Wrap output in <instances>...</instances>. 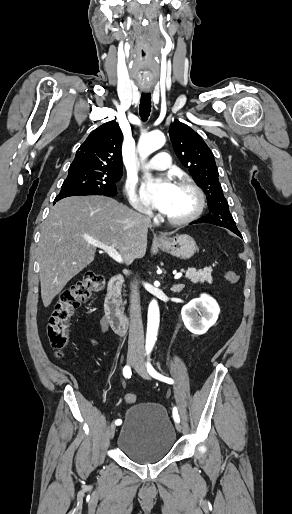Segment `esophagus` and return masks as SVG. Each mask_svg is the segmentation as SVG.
<instances>
[{
  "instance_id": "esophagus-1",
  "label": "esophagus",
  "mask_w": 292,
  "mask_h": 514,
  "mask_svg": "<svg viewBox=\"0 0 292 514\" xmlns=\"http://www.w3.org/2000/svg\"><path fill=\"white\" fill-rule=\"evenodd\" d=\"M144 92H150V89H146V90H144ZM155 240H157L158 242H163V241H164V235L159 234V235L156 237V239H155Z\"/></svg>"
}]
</instances>
